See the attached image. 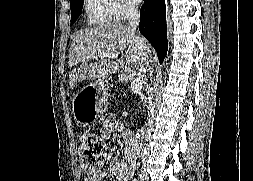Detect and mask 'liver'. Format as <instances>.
<instances>
[{
	"mask_svg": "<svg viewBox=\"0 0 253 181\" xmlns=\"http://www.w3.org/2000/svg\"><path fill=\"white\" fill-rule=\"evenodd\" d=\"M140 43L145 45L143 51ZM124 50L126 66L143 77L154 59V50L146 39L136 36L135 30L130 26L106 23L80 31L69 50V67L88 62L89 65L74 68L70 74V86L74 87L86 79L98 80L111 76L123 66L122 61L98 55L103 52L120 54Z\"/></svg>",
	"mask_w": 253,
	"mask_h": 181,
	"instance_id": "liver-1",
	"label": "liver"
}]
</instances>
